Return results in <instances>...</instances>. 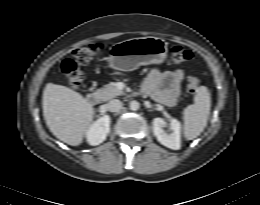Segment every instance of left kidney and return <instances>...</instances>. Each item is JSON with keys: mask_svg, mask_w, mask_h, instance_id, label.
Returning a JSON list of instances; mask_svg holds the SVG:
<instances>
[{"mask_svg": "<svg viewBox=\"0 0 260 205\" xmlns=\"http://www.w3.org/2000/svg\"><path fill=\"white\" fill-rule=\"evenodd\" d=\"M153 132L157 140L164 146L179 150L181 148V124L177 119H172L169 124L171 133H167L164 128L167 126L164 119L157 117L153 119Z\"/></svg>", "mask_w": 260, "mask_h": 205, "instance_id": "5707ae66", "label": "left kidney"}]
</instances>
